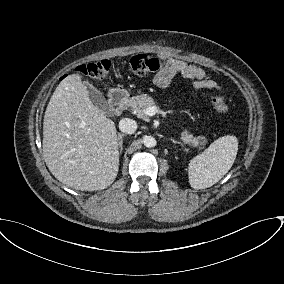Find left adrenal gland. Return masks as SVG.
Listing matches in <instances>:
<instances>
[{"mask_svg": "<svg viewBox=\"0 0 284 284\" xmlns=\"http://www.w3.org/2000/svg\"><path fill=\"white\" fill-rule=\"evenodd\" d=\"M172 143H175V144H180L181 146H184L183 143L175 140V139H171Z\"/></svg>", "mask_w": 284, "mask_h": 284, "instance_id": "1", "label": "left adrenal gland"}]
</instances>
